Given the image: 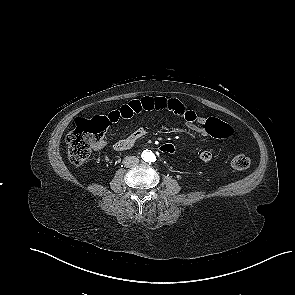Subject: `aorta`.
<instances>
[{
  "label": "aorta",
  "instance_id": "762f6f07",
  "mask_svg": "<svg viewBox=\"0 0 295 295\" xmlns=\"http://www.w3.org/2000/svg\"><path fill=\"white\" fill-rule=\"evenodd\" d=\"M142 158L145 162H154L156 160L155 154L150 150H145L142 154Z\"/></svg>",
  "mask_w": 295,
  "mask_h": 295
}]
</instances>
